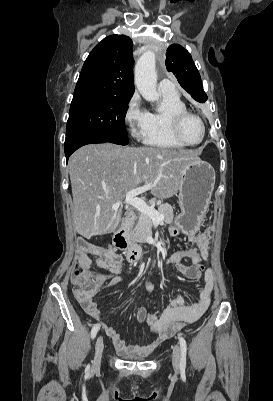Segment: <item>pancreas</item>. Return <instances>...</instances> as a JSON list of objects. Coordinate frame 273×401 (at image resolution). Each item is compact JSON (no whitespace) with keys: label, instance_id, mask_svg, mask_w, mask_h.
Returning a JSON list of instances; mask_svg holds the SVG:
<instances>
[{"label":"pancreas","instance_id":"cf45deb5","mask_svg":"<svg viewBox=\"0 0 273 401\" xmlns=\"http://www.w3.org/2000/svg\"><path fill=\"white\" fill-rule=\"evenodd\" d=\"M158 211L160 215H164V221H162V223H165V225L173 223L174 215L171 205H159ZM151 233L152 219H150L148 215H144V213H139V217H137L135 225H133L130 233L133 241H136V243H142V241H144L148 235H151Z\"/></svg>","mask_w":273,"mask_h":401}]
</instances>
